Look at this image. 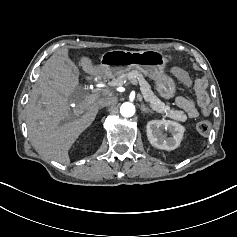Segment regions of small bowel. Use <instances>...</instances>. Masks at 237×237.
Masks as SVG:
<instances>
[{
    "mask_svg": "<svg viewBox=\"0 0 237 237\" xmlns=\"http://www.w3.org/2000/svg\"><path fill=\"white\" fill-rule=\"evenodd\" d=\"M194 92L197 102L188 96H178L175 99L176 105L190 118H196L200 114L208 115L210 113V107L207 94V82L204 79H198L194 84Z\"/></svg>",
    "mask_w": 237,
    "mask_h": 237,
    "instance_id": "c3829d8e",
    "label": "small bowel"
}]
</instances>
